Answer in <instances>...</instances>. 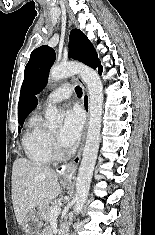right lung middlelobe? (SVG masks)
I'll use <instances>...</instances> for the list:
<instances>
[{"mask_svg": "<svg viewBox=\"0 0 155 235\" xmlns=\"http://www.w3.org/2000/svg\"><path fill=\"white\" fill-rule=\"evenodd\" d=\"M23 122H24V120L19 121V123H20L21 125H23Z\"/></svg>", "mask_w": 155, "mask_h": 235, "instance_id": "obj_1", "label": "right lung middle lobe"}]
</instances>
